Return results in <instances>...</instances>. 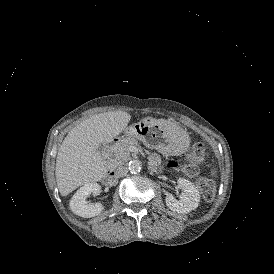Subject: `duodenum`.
<instances>
[{
  "instance_id": "obj_1",
  "label": "duodenum",
  "mask_w": 274,
  "mask_h": 274,
  "mask_svg": "<svg viewBox=\"0 0 274 274\" xmlns=\"http://www.w3.org/2000/svg\"><path fill=\"white\" fill-rule=\"evenodd\" d=\"M117 139H112L108 142V144L105 146V149H104V155H105V160H106V163L109 165L110 164V161H109V153H110V148H111V145L116 142ZM115 173L113 170H108L107 172V177L109 179H112L114 177Z\"/></svg>"
}]
</instances>
